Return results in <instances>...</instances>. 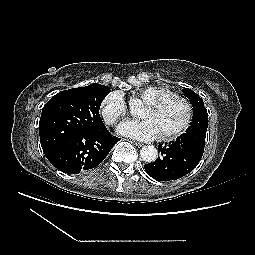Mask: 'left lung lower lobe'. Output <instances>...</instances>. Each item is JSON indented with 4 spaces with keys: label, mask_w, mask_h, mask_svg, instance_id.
Returning <instances> with one entry per match:
<instances>
[{
    "label": "left lung lower lobe",
    "mask_w": 255,
    "mask_h": 255,
    "mask_svg": "<svg viewBox=\"0 0 255 255\" xmlns=\"http://www.w3.org/2000/svg\"><path fill=\"white\" fill-rule=\"evenodd\" d=\"M206 130H193L169 145H159L161 156L155 162L145 164L147 174L159 181H170L191 172L202 158Z\"/></svg>",
    "instance_id": "0a47b994"
}]
</instances>
